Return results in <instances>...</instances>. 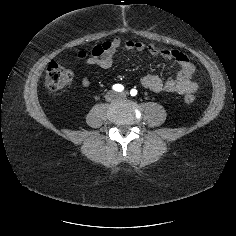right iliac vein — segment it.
Returning <instances> with one entry per match:
<instances>
[{
	"mask_svg": "<svg viewBox=\"0 0 236 236\" xmlns=\"http://www.w3.org/2000/svg\"><path fill=\"white\" fill-rule=\"evenodd\" d=\"M116 99H117V94L116 93H114V92L107 93V95H106V100L107 101H114Z\"/></svg>",
	"mask_w": 236,
	"mask_h": 236,
	"instance_id": "right-iliac-vein-1",
	"label": "right iliac vein"
}]
</instances>
